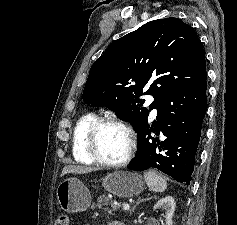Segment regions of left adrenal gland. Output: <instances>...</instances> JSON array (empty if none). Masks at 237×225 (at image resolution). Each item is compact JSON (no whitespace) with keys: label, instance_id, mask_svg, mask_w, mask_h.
<instances>
[{"label":"left adrenal gland","instance_id":"obj_1","mask_svg":"<svg viewBox=\"0 0 237 225\" xmlns=\"http://www.w3.org/2000/svg\"><path fill=\"white\" fill-rule=\"evenodd\" d=\"M152 198H153V197H149V198H145V199H139L138 202H136V204L133 206L132 210L130 211V215L134 212L135 208H136L141 202L150 200V199H152Z\"/></svg>","mask_w":237,"mask_h":225}]
</instances>
